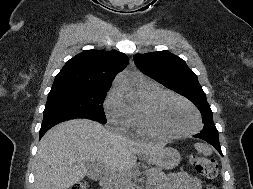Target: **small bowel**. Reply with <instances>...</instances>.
I'll list each match as a JSON object with an SVG mask.
<instances>
[{"label": "small bowel", "mask_w": 253, "mask_h": 189, "mask_svg": "<svg viewBox=\"0 0 253 189\" xmlns=\"http://www.w3.org/2000/svg\"><path fill=\"white\" fill-rule=\"evenodd\" d=\"M200 179L187 172L171 173L165 183L164 189H201Z\"/></svg>", "instance_id": "small-bowel-1"}]
</instances>
